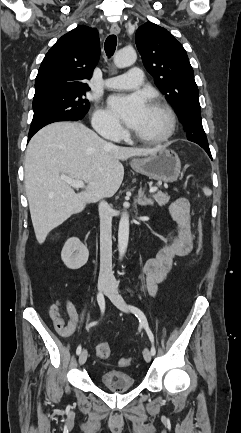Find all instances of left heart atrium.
<instances>
[{"mask_svg":"<svg viewBox=\"0 0 241 433\" xmlns=\"http://www.w3.org/2000/svg\"><path fill=\"white\" fill-rule=\"evenodd\" d=\"M108 106L116 117L133 130L141 125L150 107L141 93L113 95L108 100Z\"/></svg>","mask_w":241,"mask_h":433,"instance_id":"39dd6f15","label":"left heart atrium"}]
</instances>
